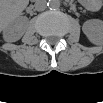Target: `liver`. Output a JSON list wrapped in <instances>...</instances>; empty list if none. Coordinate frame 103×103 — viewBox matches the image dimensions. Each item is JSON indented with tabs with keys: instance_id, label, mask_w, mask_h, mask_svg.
Here are the masks:
<instances>
[{
	"instance_id": "obj_1",
	"label": "liver",
	"mask_w": 103,
	"mask_h": 103,
	"mask_svg": "<svg viewBox=\"0 0 103 103\" xmlns=\"http://www.w3.org/2000/svg\"><path fill=\"white\" fill-rule=\"evenodd\" d=\"M28 5L24 0H7L1 4V30L14 22Z\"/></svg>"
}]
</instances>
